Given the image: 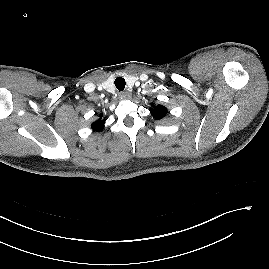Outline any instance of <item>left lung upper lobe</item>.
Instances as JSON below:
<instances>
[{
    "instance_id": "left-lung-upper-lobe-1",
    "label": "left lung upper lobe",
    "mask_w": 269,
    "mask_h": 269,
    "mask_svg": "<svg viewBox=\"0 0 269 269\" xmlns=\"http://www.w3.org/2000/svg\"><path fill=\"white\" fill-rule=\"evenodd\" d=\"M150 112L155 119L159 120L166 116L167 109L162 105H153L152 108H150Z\"/></svg>"
}]
</instances>
